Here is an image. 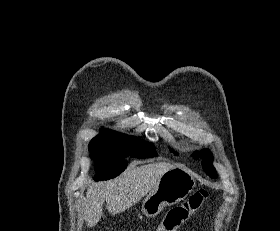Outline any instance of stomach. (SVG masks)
Instances as JSON below:
<instances>
[{
  "mask_svg": "<svg viewBox=\"0 0 280 231\" xmlns=\"http://www.w3.org/2000/svg\"><path fill=\"white\" fill-rule=\"evenodd\" d=\"M196 181L188 169L174 165L160 177L155 189L149 191L142 203V211L147 217H154L165 205L178 203L193 191Z\"/></svg>",
  "mask_w": 280,
  "mask_h": 231,
  "instance_id": "obj_1",
  "label": "stomach"
}]
</instances>
